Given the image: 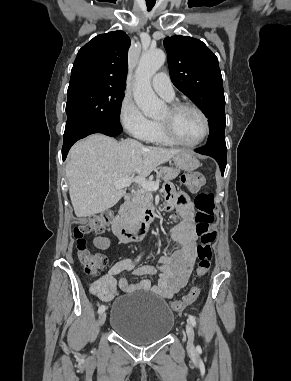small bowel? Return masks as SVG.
Instances as JSON below:
<instances>
[{"label":"small bowel","instance_id":"1","mask_svg":"<svg viewBox=\"0 0 291 381\" xmlns=\"http://www.w3.org/2000/svg\"><path fill=\"white\" fill-rule=\"evenodd\" d=\"M166 208H176L182 221L173 227L171 237L176 243L172 253L163 255L157 266L141 265L135 267L131 259L116 262L105 274L94 280L90 286L91 292L102 302L111 301L119 292L149 291L162 298L170 299L183 288L193 271L197 255V244L193 230V206L190 202L174 205L175 192L167 189ZM94 245L104 249L108 239L102 236L94 239ZM123 271H132L136 276H157L158 282L152 285L149 279H142L137 283H129L126 278L118 282L116 276Z\"/></svg>","mask_w":291,"mask_h":381}]
</instances>
